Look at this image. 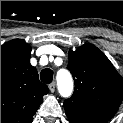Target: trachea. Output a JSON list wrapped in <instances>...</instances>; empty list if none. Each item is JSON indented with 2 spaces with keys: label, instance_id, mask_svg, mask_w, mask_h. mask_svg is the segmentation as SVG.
I'll return each instance as SVG.
<instances>
[{
  "label": "trachea",
  "instance_id": "3493384b",
  "mask_svg": "<svg viewBox=\"0 0 123 123\" xmlns=\"http://www.w3.org/2000/svg\"><path fill=\"white\" fill-rule=\"evenodd\" d=\"M40 78H41V81L44 83H47V84L51 83L53 80V71L49 68L42 70L40 73Z\"/></svg>",
  "mask_w": 123,
  "mask_h": 123
}]
</instances>
